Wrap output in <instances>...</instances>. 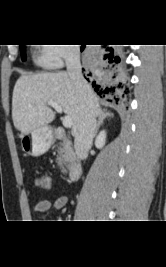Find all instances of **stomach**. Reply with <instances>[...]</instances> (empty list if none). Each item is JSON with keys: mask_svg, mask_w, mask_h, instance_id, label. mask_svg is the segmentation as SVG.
Listing matches in <instances>:
<instances>
[{"mask_svg": "<svg viewBox=\"0 0 166 267\" xmlns=\"http://www.w3.org/2000/svg\"><path fill=\"white\" fill-rule=\"evenodd\" d=\"M54 141V135L49 126L32 130L21 138L22 150L32 156H40L47 152Z\"/></svg>", "mask_w": 166, "mask_h": 267, "instance_id": "1", "label": "stomach"}]
</instances>
